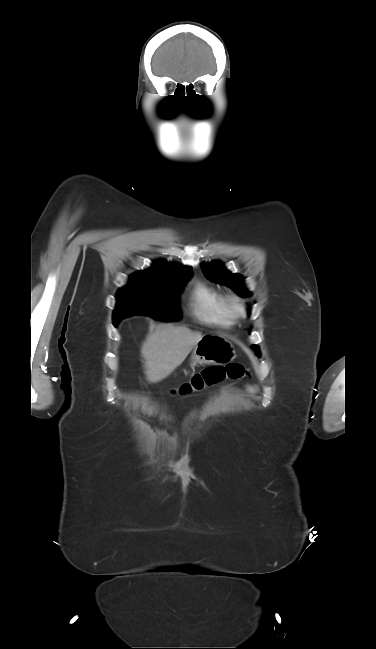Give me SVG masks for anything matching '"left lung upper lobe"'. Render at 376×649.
Masks as SVG:
<instances>
[{
	"label": "left lung upper lobe",
	"instance_id": "obj_1",
	"mask_svg": "<svg viewBox=\"0 0 376 649\" xmlns=\"http://www.w3.org/2000/svg\"><path fill=\"white\" fill-rule=\"evenodd\" d=\"M202 271L205 276L211 281L224 284L232 288L237 294L242 297H249L251 293L248 292L244 285V278L238 274H233L226 270L222 263L212 262L210 264L201 265Z\"/></svg>",
	"mask_w": 376,
	"mask_h": 649
}]
</instances>
